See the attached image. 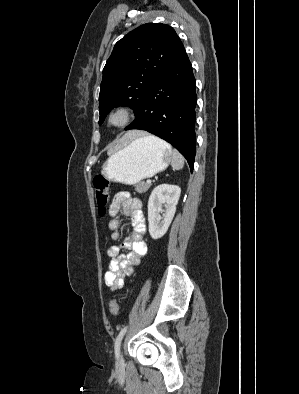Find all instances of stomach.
Listing matches in <instances>:
<instances>
[{
    "mask_svg": "<svg viewBox=\"0 0 299 394\" xmlns=\"http://www.w3.org/2000/svg\"><path fill=\"white\" fill-rule=\"evenodd\" d=\"M171 161L169 148L147 137L133 140L110 155L103 165L105 175L116 182L135 185L164 170Z\"/></svg>",
    "mask_w": 299,
    "mask_h": 394,
    "instance_id": "1",
    "label": "stomach"
}]
</instances>
